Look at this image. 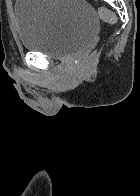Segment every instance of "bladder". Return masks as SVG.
Listing matches in <instances>:
<instances>
[{
  "label": "bladder",
  "mask_w": 140,
  "mask_h": 196,
  "mask_svg": "<svg viewBox=\"0 0 140 196\" xmlns=\"http://www.w3.org/2000/svg\"><path fill=\"white\" fill-rule=\"evenodd\" d=\"M14 15L22 48L55 60L84 52L99 30L85 0H16Z\"/></svg>",
  "instance_id": "obj_1"
}]
</instances>
